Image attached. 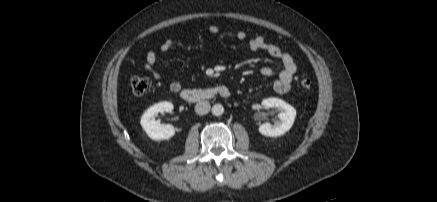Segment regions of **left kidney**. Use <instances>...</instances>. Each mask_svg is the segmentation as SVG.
I'll return each instance as SVG.
<instances>
[{
  "label": "left kidney",
  "mask_w": 437,
  "mask_h": 202,
  "mask_svg": "<svg viewBox=\"0 0 437 202\" xmlns=\"http://www.w3.org/2000/svg\"><path fill=\"white\" fill-rule=\"evenodd\" d=\"M262 106L265 109H275L279 111L278 118L280 122L275 125L264 123L259 126V132L268 137H277L285 134L292 127L296 110L293 106L279 98H267L262 101Z\"/></svg>",
  "instance_id": "left-kidney-1"
}]
</instances>
